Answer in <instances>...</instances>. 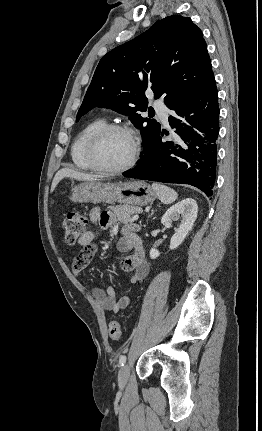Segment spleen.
<instances>
[{
  "label": "spleen",
  "mask_w": 262,
  "mask_h": 431,
  "mask_svg": "<svg viewBox=\"0 0 262 431\" xmlns=\"http://www.w3.org/2000/svg\"><path fill=\"white\" fill-rule=\"evenodd\" d=\"M152 188L154 189L159 200H161V202L164 204H171L178 197L177 192L168 186L159 183H153Z\"/></svg>",
  "instance_id": "1"
}]
</instances>
